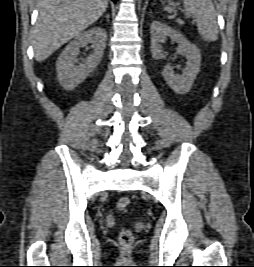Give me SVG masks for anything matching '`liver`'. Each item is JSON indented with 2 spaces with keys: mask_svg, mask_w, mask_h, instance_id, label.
<instances>
[{
  "mask_svg": "<svg viewBox=\"0 0 254 267\" xmlns=\"http://www.w3.org/2000/svg\"><path fill=\"white\" fill-rule=\"evenodd\" d=\"M108 0H40L33 30L35 59L42 62L105 12Z\"/></svg>",
  "mask_w": 254,
  "mask_h": 267,
  "instance_id": "1",
  "label": "liver"
}]
</instances>
